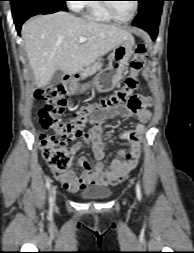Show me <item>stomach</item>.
<instances>
[{
    "label": "stomach",
    "instance_id": "stomach-1",
    "mask_svg": "<svg viewBox=\"0 0 194 253\" xmlns=\"http://www.w3.org/2000/svg\"><path fill=\"white\" fill-rule=\"evenodd\" d=\"M134 41L125 40L118 44L109 56L108 66L101 70L93 79L94 87L100 92L112 90L120 81L130 57L133 54ZM71 93L78 89L85 91L89 85L79 86L78 79L72 78L67 83Z\"/></svg>",
    "mask_w": 194,
    "mask_h": 253
}]
</instances>
